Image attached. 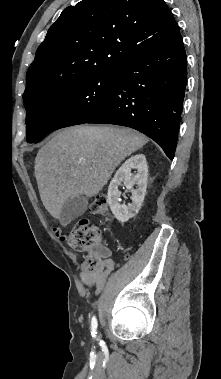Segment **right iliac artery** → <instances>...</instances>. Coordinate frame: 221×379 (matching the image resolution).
Listing matches in <instances>:
<instances>
[{
    "label": "right iliac artery",
    "mask_w": 221,
    "mask_h": 379,
    "mask_svg": "<svg viewBox=\"0 0 221 379\" xmlns=\"http://www.w3.org/2000/svg\"><path fill=\"white\" fill-rule=\"evenodd\" d=\"M92 335L94 336V334L96 333V328H97V320L95 317L92 318Z\"/></svg>",
    "instance_id": "1"
}]
</instances>
